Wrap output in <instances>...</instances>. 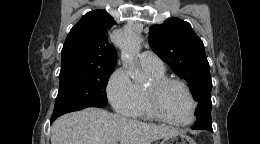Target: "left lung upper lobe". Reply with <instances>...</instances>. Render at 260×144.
Wrapping results in <instances>:
<instances>
[{
    "mask_svg": "<svg viewBox=\"0 0 260 144\" xmlns=\"http://www.w3.org/2000/svg\"><path fill=\"white\" fill-rule=\"evenodd\" d=\"M149 44L176 75L189 83L193 97L199 102L194 129L212 131V80L202 40L188 22L171 18L150 27Z\"/></svg>",
    "mask_w": 260,
    "mask_h": 144,
    "instance_id": "5c2ea615",
    "label": "left lung upper lobe"
}]
</instances>
